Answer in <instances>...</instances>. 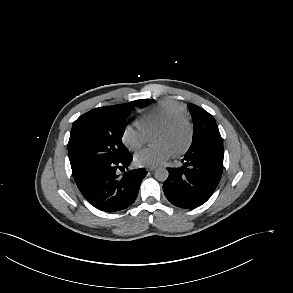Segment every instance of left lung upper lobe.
<instances>
[{"instance_id":"left-lung-upper-lobe-1","label":"left lung upper lobe","mask_w":293,"mask_h":293,"mask_svg":"<svg viewBox=\"0 0 293 293\" xmlns=\"http://www.w3.org/2000/svg\"><path fill=\"white\" fill-rule=\"evenodd\" d=\"M188 108L193 120V140L187 152L200 147L223 152V141L213 116L194 104H189Z\"/></svg>"}]
</instances>
